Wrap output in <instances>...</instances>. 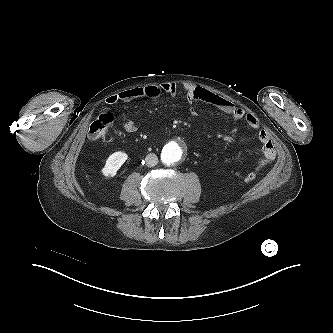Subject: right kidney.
<instances>
[{
	"label": "right kidney",
	"instance_id": "right-kidney-1",
	"mask_svg": "<svg viewBox=\"0 0 333 333\" xmlns=\"http://www.w3.org/2000/svg\"><path fill=\"white\" fill-rule=\"evenodd\" d=\"M127 159L128 155L125 152L118 151L111 154L106 160V164L102 169V174L105 177H114Z\"/></svg>",
	"mask_w": 333,
	"mask_h": 333
}]
</instances>
